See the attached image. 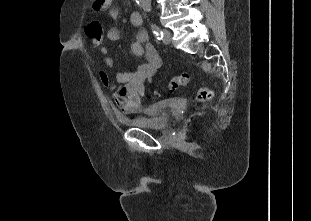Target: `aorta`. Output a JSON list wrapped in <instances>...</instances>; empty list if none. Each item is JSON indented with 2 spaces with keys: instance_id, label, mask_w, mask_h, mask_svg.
<instances>
[{
  "instance_id": "obj_1",
  "label": "aorta",
  "mask_w": 311,
  "mask_h": 221,
  "mask_svg": "<svg viewBox=\"0 0 311 221\" xmlns=\"http://www.w3.org/2000/svg\"><path fill=\"white\" fill-rule=\"evenodd\" d=\"M140 4H141L143 10H146V12H150L151 0H140Z\"/></svg>"
}]
</instances>
